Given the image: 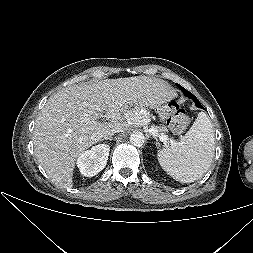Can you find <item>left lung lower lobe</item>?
Instances as JSON below:
<instances>
[{"instance_id": "0a47b994", "label": "left lung lower lobe", "mask_w": 253, "mask_h": 253, "mask_svg": "<svg viewBox=\"0 0 253 253\" xmlns=\"http://www.w3.org/2000/svg\"><path fill=\"white\" fill-rule=\"evenodd\" d=\"M190 98L193 99V101L195 102L196 106H198L199 108L204 109L203 106L198 101V99L193 94L190 95Z\"/></svg>"}]
</instances>
